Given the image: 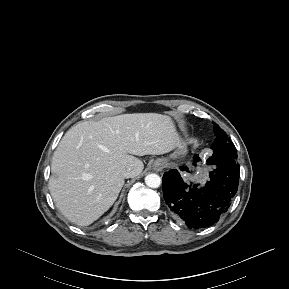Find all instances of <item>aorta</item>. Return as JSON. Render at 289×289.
<instances>
[{
    "label": "aorta",
    "mask_w": 289,
    "mask_h": 289,
    "mask_svg": "<svg viewBox=\"0 0 289 289\" xmlns=\"http://www.w3.org/2000/svg\"><path fill=\"white\" fill-rule=\"evenodd\" d=\"M145 183L150 188H158L161 185V178L157 174H148L145 177Z\"/></svg>",
    "instance_id": "762f6f07"
}]
</instances>
